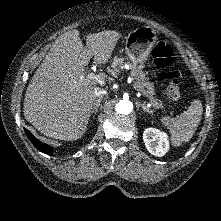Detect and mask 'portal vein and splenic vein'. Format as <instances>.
<instances>
[{
	"label": "portal vein and splenic vein",
	"instance_id": "1",
	"mask_svg": "<svg viewBox=\"0 0 221 221\" xmlns=\"http://www.w3.org/2000/svg\"><path fill=\"white\" fill-rule=\"evenodd\" d=\"M86 80L89 83H99V84H104V79L101 77V75H97L95 73H89L86 77ZM134 89H136V87L133 85ZM137 90V89H136ZM154 106V105H153Z\"/></svg>",
	"mask_w": 221,
	"mask_h": 221
}]
</instances>
